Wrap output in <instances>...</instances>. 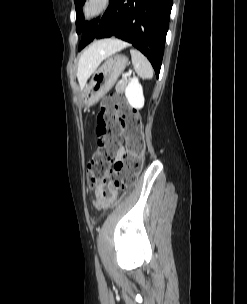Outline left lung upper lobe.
<instances>
[{
    "label": "left lung upper lobe",
    "mask_w": 247,
    "mask_h": 304,
    "mask_svg": "<svg viewBox=\"0 0 247 304\" xmlns=\"http://www.w3.org/2000/svg\"><path fill=\"white\" fill-rule=\"evenodd\" d=\"M75 5H76V12H77V16H76V31L77 33H80L82 31H84L86 28H88L89 26L95 24L97 20H94L92 22H84V16L81 10V7L83 6L85 0H74Z\"/></svg>",
    "instance_id": "5c2ea615"
}]
</instances>
